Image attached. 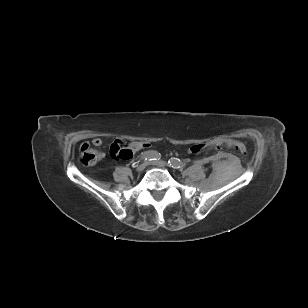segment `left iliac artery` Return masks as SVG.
Listing matches in <instances>:
<instances>
[{"label":"left iliac artery","instance_id":"obj_1","mask_svg":"<svg viewBox=\"0 0 308 308\" xmlns=\"http://www.w3.org/2000/svg\"><path fill=\"white\" fill-rule=\"evenodd\" d=\"M169 165L175 169H182L185 166V163H183L180 159L178 158H171L168 161Z\"/></svg>","mask_w":308,"mask_h":308}]
</instances>
